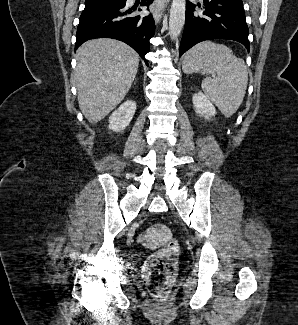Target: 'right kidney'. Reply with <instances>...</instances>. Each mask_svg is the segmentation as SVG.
Wrapping results in <instances>:
<instances>
[{
  "label": "right kidney",
  "instance_id": "right-kidney-1",
  "mask_svg": "<svg viewBox=\"0 0 298 325\" xmlns=\"http://www.w3.org/2000/svg\"><path fill=\"white\" fill-rule=\"evenodd\" d=\"M135 110V100H125V102H122L119 108L114 110L111 116H109L108 128H110V130H116V132H121V130H124V128L130 124Z\"/></svg>",
  "mask_w": 298,
  "mask_h": 325
}]
</instances>
